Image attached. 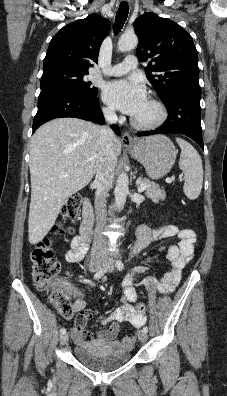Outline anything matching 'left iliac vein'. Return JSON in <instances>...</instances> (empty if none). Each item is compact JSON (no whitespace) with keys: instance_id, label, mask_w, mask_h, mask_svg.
I'll list each match as a JSON object with an SVG mask.
<instances>
[{"instance_id":"4c4485c4","label":"left iliac vein","mask_w":227,"mask_h":396,"mask_svg":"<svg viewBox=\"0 0 227 396\" xmlns=\"http://www.w3.org/2000/svg\"><path fill=\"white\" fill-rule=\"evenodd\" d=\"M114 266V260L112 258H109L104 265V269L106 272H112L114 270ZM138 338L141 342H145L147 340V333L144 331H140L138 334Z\"/></svg>"}]
</instances>
